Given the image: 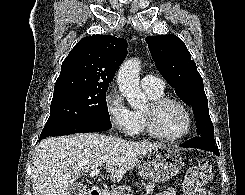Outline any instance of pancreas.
Segmentation results:
<instances>
[{"label": "pancreas", "mask_w": 245, "mask_h": 195, "mask_svg": "<svg viewBox=\"0 0 245 195\" xmlns=\"http://www.w3.org/2000/svg\"><path fill=\"white\" fill-rule=\"evenodd\" d=\"M142 186L145 188L147 194H150L154 190V185L148 182H142ZM126 192L125 185L119 186L112 190L111 192H103L102 195H124Z\"/></svg>", "instance_id": "cf45deb5"}]
</instances>
